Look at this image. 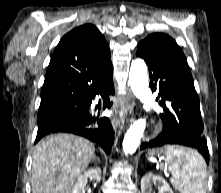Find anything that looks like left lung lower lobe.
I'll list each match as a JSON object with an SVG mask.
<instances>
[{"label":"left lung lower lobe","instance_id":"obj_1","mask_svg":"<svg viewBox=\"0 0 221 193\" xmlns=\"http://www.w3.org/2000/svg\"><path fill=\"white\" fill-rule=\"evenodd\" d=\"M136 55L148 64L152 91L159 90L160 104L168 100L173 112L161 114L162 132L141 149L182 145L197 149L209 164V151L203 132L199 98L187 61L155 52L139 43Z\"/></svg>","mask_w":221,"mask_h":193}]
</instances>
